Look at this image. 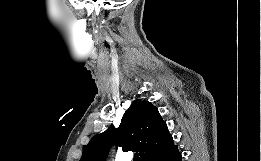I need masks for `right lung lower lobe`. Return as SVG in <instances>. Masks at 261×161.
I'll list each match as a JSON object with an SVG mask.
<instances>
[{
    "label": "right lung lower lobe",
    "instance_id": "right-lung-lower-lobe-1",
    "mask_svg": "<svg viewBox=\"0 0 261 161\" xmlns=\"http://www.w3.org/2000/svg\"><path fill=\"white\" fill-rule=\"evenodd\" d=\"M145 161H181L177 145L171 144L166 148L150 154Z\"/></svg>",
    "mask_w": 261,
    "mask_h": 161
}]
</instances>
